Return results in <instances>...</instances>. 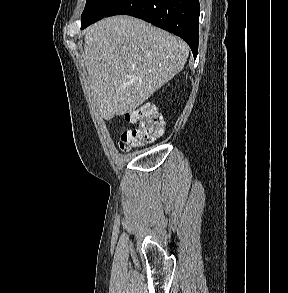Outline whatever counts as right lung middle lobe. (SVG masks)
Segmentation results:
<instances>
[{
  "instance_id": "right-lung-middle-lobe-1",
  "label": "right lung middle lobe",
  "mask_w": 288,
  "mask_h": 293,
  "mask_svg": "<svg viewBox=\"0 0 288 293\" xmlns=\"http://www.w3.org/2000/svg\"><path fill=\"white\" fill-rule=\"evenodd\" d=\"M123 0H87L82 14L81 29L105 17L116 5Z\"/></svg>"
}]
</instances>
